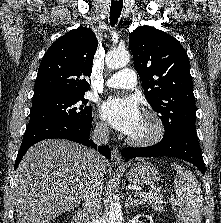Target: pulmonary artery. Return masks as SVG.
I'll list each match as a JSON object with an SVG mask.
<instances>
[{
    "label": "pulmonary artery",
    "mask_w": 221,
    "mask_h": 223,
    "mask_svg": "<svg viewBox=\"0 0 221 223\" xmlns=\"http://www.w3.org/2000/svg\"><path fill=\"white\" fill-rule=\"evenodd\" d=\"M108 88H133L137 85V75L133 69L125 68L105 80Z\"/></svg>",
    "instance_id": "pulmonary-artery-1"
}]
</instances>
